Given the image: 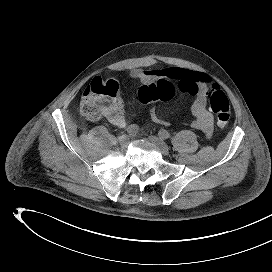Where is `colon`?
I'll list each match as a JSON object with an SVG mask.
<instances>
[{"label": "colon", "instance_id": "colon-1", "mask_svg": "<svg viewBox=\"0 0 272 272\" xmlns=\"http://www.w3.org/2000/svg\"><path fill=\"white\" fill-rule=\"evenodd\" d=\"M176 88L174 83L159 79L143 85L137 91L136 99L140 103L167 101L174 96ZM119 93L116 81L94 78L85 88L81 98L80 111L82 115L89 120L110 115L115 109ZM206 97L216 116L219 128H225L231 118V108L227 96L219 86L212 85L206 90Z\"/></svg>", "mask_w": 272, "mask_h": 272}]
</instances>
